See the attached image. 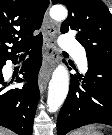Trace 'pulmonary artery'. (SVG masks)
I'll use <instances>...</instances> for the list:
<instances>
[{
  "label": "pulmonary artery",
  "instance_id": "pulmonary-artery-1",
  "mask_svg": "<svg viewBox=\"0 0 112 135\" xmlns=\"http://www.w3.org/2000/svg\"><path fill=\"white\" fill-rule=\"evenodd\" d=\"M60 46L63 50L70 53L78 63L82 71H87V58L82 46L71 36L62 35Z\"/></svg>",
  "mask_w": 112,
  "mask_h": 135
}]
</instances>
